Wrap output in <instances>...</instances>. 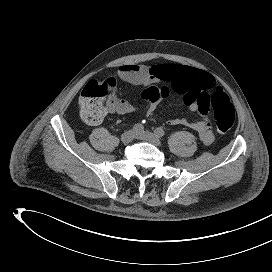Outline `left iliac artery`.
<instances>
[{"label": "left iliac artery", "mask_w": 272, "mask_h": 272, "mask_svg": "<svg viewBox=\"0 0 272 272\" xmlns=\"http://www.w3.org/2000/svg\"><path fill=\"white\" fill-rule=\"evenodd\" d=\"M154 133L158 137H163L165 135V131L162 128H160V127L156 128L154 130Z\"/></svg>", "instance_id": "obj_1"}]
</instances>
